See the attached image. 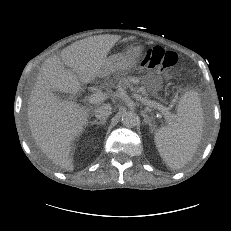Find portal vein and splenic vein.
<instances>
[{
    "label": "portal vein and splenic vein",
    "instance_id": "portal-vein-and-splenic-vein-1",
    "mask_svg": "<svg viewBox=\"0 0 231 231\" xmlns=\"http://www.w3.org/2000/svg\"><path fill=\"white\" fill-rule=\"evenodd\" d=\"M134 97L138 101H140L143 105H145L149 110H151V108L158 109V110H160L163 113V115L165 116V118L167 120H171L172 115H171V113L166 108H164V107H155L152 102L147 101L146 99L142 98L139 95L134 94ZM105 99H106V95L104 93H102V92L93 93L88 98V100H89V102L91 104L100 103V102L104 101Z\"/></svg>",
    "mask_w": 231,
    "mask_h": 231
}]
</instances>
